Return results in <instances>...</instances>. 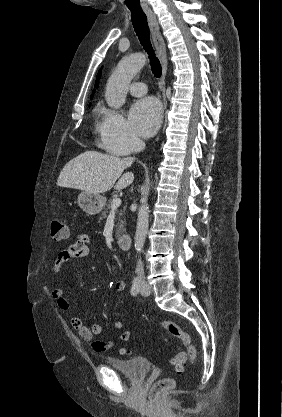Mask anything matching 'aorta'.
Instances as JSON below:
<instances>
[{"label":"aorta","instance_id":"aorta-1","mask_svg":"<svg viewBox=\"0 0 282 417\" xmlns=\"http://www.w3.org/2000/svg\"><path fill=\"white\" fill-rule=\"evenodd\" d=\"M146 62L144 52H135L119 60L115 70L109 76L105 90V100L111 108H120L125 102L128 86L133 76L143 68ZM149 227V206L147 198H143L138 211L134 247L136 253H142Z\"/></svg>","mask_w":282,"mask_h":417}]
</instances>
